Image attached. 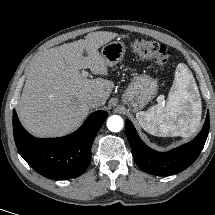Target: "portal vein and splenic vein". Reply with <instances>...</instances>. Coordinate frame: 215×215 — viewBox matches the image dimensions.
Wrapping results in <instances>:
<instances>
[{
  "label": "portal vein and splenic vein",
  "mask_w": 215,
  "mask_h": 215,
  "mask_svg": "<svg viewBox=\"0 0 215 215\" xmlns=\"http://www.w3.org/2000/svg\"><path fill=\"white\" fill-rule=\"evenodd\" d=\"M89 75V73L87 71H82V76L83 77H87Z\"/></svg>",
  "instance_id": "obj_1"
}]
</instances>
